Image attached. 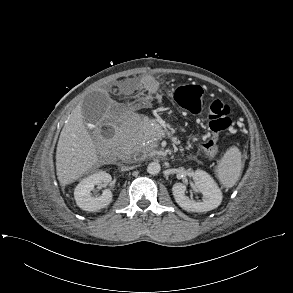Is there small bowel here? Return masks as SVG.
Listing matches in <instances>:
<instances>
[{
  "instance_id": "obj_1",
  "label": "small bowel",
  "mask_w": 293,
  "mask_h": 293,
  "mask_svg": "<svg viewBox=\"0 0 293 293\" xmlns=\"http://www.w3.org/2000/svg\"><path fill=\"white\" fill-rule=\"evenodd\" d=\"M129 85L131 88H137L138 90L144 92L150 98H159L158 81L151 75L145 74L140 76L138 79H130ZM146 97H142L144 99Z\"/></svg>"
}]
</instances>
